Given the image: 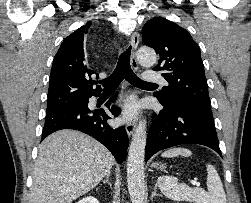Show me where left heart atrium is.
Wrapping results in <instances>:
<instances>
[{
	"label": "left heart atrium",
	"instance_id": "1",
	"mask_svg": "<svg viewBox=\"0 0 251 203\" xmlns=\"http://www.w3.org/2000/svg\"><path fill=\"white\" fill-rule=\"evenodd\" d=\"M139 109V104L133 99H130L125 102L123 106L122 119L123 120H132Z\"/></svg>",
	"mask_w": 251,
	"mask_h": 203
}]
</instances>
